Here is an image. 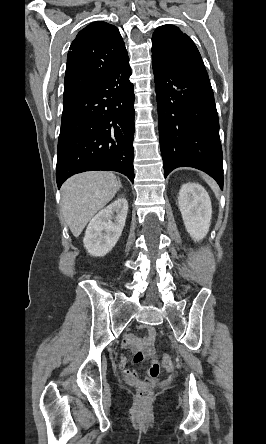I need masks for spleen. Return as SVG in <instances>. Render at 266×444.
I'll list each match as a JSON object with an SVG mask.
<instances>
[{
    "label": "spleen",
    "instance_id": "3e777b00",
    "mask_svg": "<svg viewBox=\"0 0 266 444\" xmlns=\"http://www.w3.org/2000/svg\"><path fill=\"white\" fill-rule=\"evenodd\" d=\"M203 178L209 184V186L212 188V190L216 194H218V186L216 185V183L211 178H209L208 176L204 175Z\"/></svg>",
    "mask_w": 266,
    "mask_h": 444
}]
</instances>
